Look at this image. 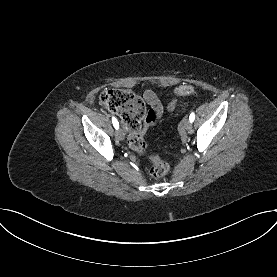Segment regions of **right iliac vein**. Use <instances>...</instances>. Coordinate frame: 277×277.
<instances>
[{
  "label": "right iliac vein",
  "mask_w": 277,
  "mask_h": 277,
  "mask_svg": "<svg viewBox=\"0 0 277 277\" xmlns=\"http://www.w3.org/2000/svg\"><path fill=\"white\" fill-rule=\"evenodd\" d=\"M115 136H116V138L118 139V140H124V138H125V133H124V131L120 128V129H118L117 131H116V133H115Z\"/></svg>",
  "instance_id": "obj_1"
}]
</instances>
